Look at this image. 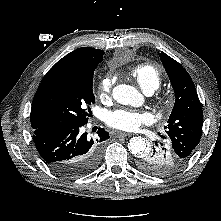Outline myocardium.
I'll return each instance as SVG.
<instances>
[{
	"label": "myocardium",
	"instance_id": "myocardium-1",
	"mask_svg": "<svg viewBox=\"0 0 221 221\" xmlns=\"http://www.w3.org/2000/svg\"><path fill=\"white\" fill-rule=\"evenodd\" d=\"M161 104H162L163 106H166V105H167V102H166L165 100H162V101H161Z\"/></svg>",
	"mask_w": 221,
	"mask_h": 221
}]
</instances>
